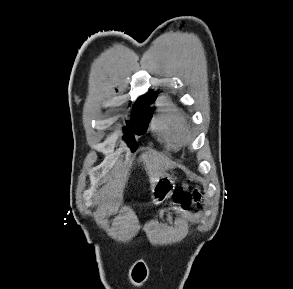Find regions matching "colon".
I'll use <instances>...</instances> for the list:
<instances>
[{
	"mask_svg": "<svg viewBox=\"0 0 293 289\" xmlns=\"http://www.w3.org/2000/svg\"><path fill=\"white\" fill-rule=\"evenodd\" d=\"M175 210H186L193 205L200 204V193L198 190L188 191L184 187L177 188L173 193Z\"/></svg>",
	"mask_w": 293,
	"mask_h": 289,
	"instance_id": "obj_1",
	"label": "colon"
}]
</instances>
